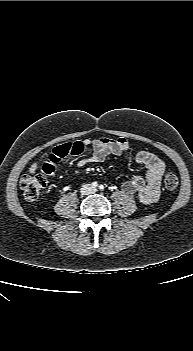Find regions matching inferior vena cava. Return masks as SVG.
Masks as SVG:
<instances>
[{"instance_id":"obj_1","label":"inferior vena cava","mask_w":193,"mask_h":351,"mask_svg":"<svg viewBox=\"0 0 193 351\" xmlns=\"http://www.w3.org/2000/svg\"><path fill=\"white\" fill-rule=\"evenodd\" d=\"M95 192V188L91 186L90 184H85L81 188V193L83 195H89Z\"/></svg>"}]
</instances>
